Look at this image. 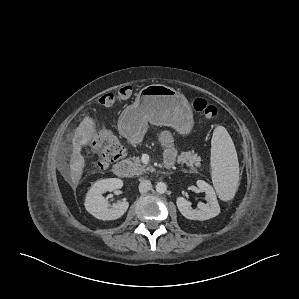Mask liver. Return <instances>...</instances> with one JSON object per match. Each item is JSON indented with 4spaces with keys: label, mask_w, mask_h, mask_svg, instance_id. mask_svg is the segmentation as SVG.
<instances>
[{
    "label": "liver",
    "mask_w": 299,
    "mask_h": 299,
    "mask_svg": "<svg viewBox=\"0 0 299 299\" xmlns=\"http://www.w3.org/2000/svg\"><path fill=\"white\" fill-rule=\"evenodd\" d=\"M96 133L95 121L87 117L77 128L73 153L70 159V177L74 185H77L81 179L83 168L85 166L84 157L81 155V146L87 145Z\"/></svg>",
    "instance_id": "liver-1"
}]
</instances>
